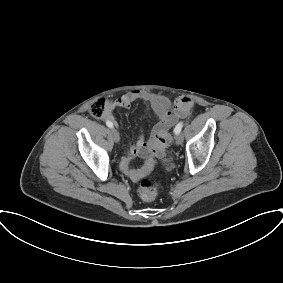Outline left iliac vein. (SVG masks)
Returning <instances> with one entry per match:
<instances>
[{
  "mask_svg": "<svg viewBox=\"0 0 283 283\" xmlns=\"http://www.w3.org/2000/svg\"><path fill=\"white\" fill-rule=\"evenodd\" d=\"M175 139H176V144L181 145L183 142L184 136L183 134L180 133V134H177Z\"/></svg>",
  "mask_w": 283,
  "mask_h": 283,
  "instance_id": "obj_1",
  "label": "left iliac vein"
}]
</instances>
